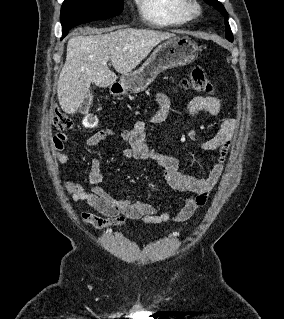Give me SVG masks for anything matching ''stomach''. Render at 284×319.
<instances>
[{"label": "stomach", "instance_id": "obj_1", "mask_svg": "<svg viewBox=\"0 0 284 319\" xmlns=\"http://www.w3.org/2000/svg\"><path fill=\"white\" fill-rule=\"evenodd\" d=\"M198 51V45L191 38L172 37L159 45L138 70L122 75L120 83L113 87V92H142L160 72L194 61Z\"/></svg>", "mask_w": 284, "mask_h": 319}]
</instances>
